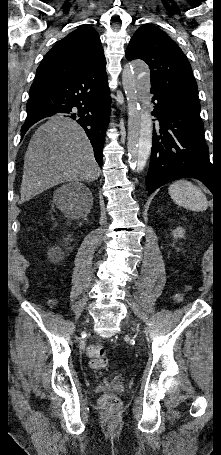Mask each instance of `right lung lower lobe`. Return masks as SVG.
Instances as JSON below:
<instances>
[{"label":"right lung lower lobe","instance_id":"obj_1","mask_svg":"<svg viewBox=\"0 0 221 455\" xmlns=\"http://www.w3.org/2000/svg\"><path fill=\"white\" fill-rule=\"evenodd\" d=\"M105 65H92L30 95L26 107L28 115L21 129L22 137L33 124L45 117H70L84 128L101 167L111 104Z\"/></svg>","mask_w":221,"mask_h":455}]
</instances>
